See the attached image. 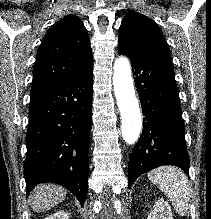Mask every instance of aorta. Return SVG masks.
<instances>
[{
  "instance_id": "aorta-1",
  "label": "aorta",
  "mask_w": 211,
  "mask_h": 219,
  "mask_svg": "<svg viewBox=\"0 0 211 219\" xmlns=\"http://www.w3.org/2000/svg\"><path fill=\"white\" fill-rule=\"evenodd\" d=\"M114 93L118 102L122 124V137L127 144H134L141 132L142 118L135 96L131 66L126 57H119L113 67Z\"/></svg>"
}]
</instances>
